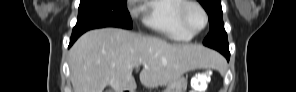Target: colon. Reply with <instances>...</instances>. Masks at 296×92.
I'll use <instances>...</instances> for the list:
<instances>
[{
	"mask_svg": "<svg viewBox=\"0 0 296 92\" xmlns=\"http://www.w3.org/2000/svg\"><path fill=\"white\" fill-rule=\"evenodd\" d=\"M208 74L199 72L191 79V92H205L208 85Z\"/></svg>",
	"mask_w": 296,
	"mask_h": 92,
	"instance_id": "5ec220e1",
	"label": "colon"
}]
</instances>
